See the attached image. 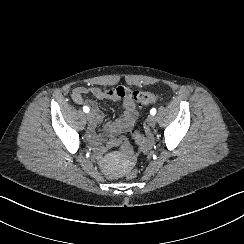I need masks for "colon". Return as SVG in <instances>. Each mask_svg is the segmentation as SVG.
<instances>
[{
	"instance_id": "obj_1",
	"label": "colon",
	"mask_w": 244,
	"mask_h": 244,
	"mask_svg": "<svg viewBox=\"0 0 244 244\" xmlns=\"http://www.w3.org/2000/svg\"><path fill=\"white\" fill-rule=\"evenodd\" d=\"M106 95L112 99H120L130 95L134 101L138 104L146 106L152 105L158 102V93L152 90H133L129 87L122 85L112 87L106 91ZM131 137L135 141H140L143 139L144 134L142 129L135 128L132 131ZM116 144L121 147V151L124 154H129L132 151V145L128 142L125 136H120L116 139ZM139 176L137 169L132 168L127 173V178L130 181H135Z\"/></svg>"
}]
</instances>
